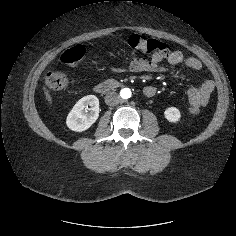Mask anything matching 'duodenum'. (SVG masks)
<instances>
[{
    "label": "duodenum",
    "mask_w": 236,
    "mask_h": 236,
    "mask_svg": "<svg viewBox=\"0 0 236 236\" xmlns=\"http://www.w3.org/2000/svg\"><path fill=\"white\" fill-rule=\"evenodd\" d=\"M121 85H122L121 82L117 80H105L97 83L94 88L96 92L100 94H105L121 87Z\"/></svg>",
    "instance_id": "duodenum-1"
}]
</instances>
